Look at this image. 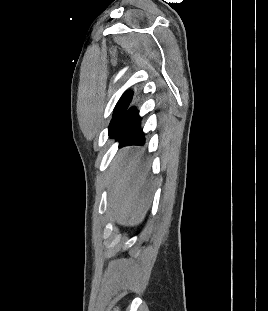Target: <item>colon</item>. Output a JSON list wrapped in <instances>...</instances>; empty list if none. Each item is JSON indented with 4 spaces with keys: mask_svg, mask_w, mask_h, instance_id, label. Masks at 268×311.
Returning a JSON list of instances; mask_svg holds the SVG:
<instances>
[{
    "mask_svg": "<svg viewBox=\"0 0 268 311\" xmlns=\"http://www.w3.org/2000/svg\"><path fill=\"white\" fill-rule=\"evenodd\" d=\"M109 311H118V308L116 306H114Z\"/></svg>",
    "mask_w": 268,
    "mask_h": 311,
    "instance_id": "obj_1",
    "label": "colon"
}]
</instances>
